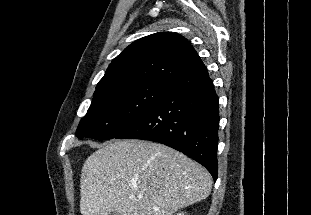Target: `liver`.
Wrapping results in <instances>:
<instances>
[{"mask_svg": "<svg viewBox=\"0 0 311 215\" xmlns=\"http://www.w3.org/2000/svg\"><path fill=\"white\" fill-rule=\"evenodd\" d=\"M82 215H172L208 197L209 172L162 144L116 140L92 153L81 171Z\"/></svg>", "mask_w": 311, "mask_h": 215, "instance_id": "liver-1", "label": "liver"}]
</instances>
